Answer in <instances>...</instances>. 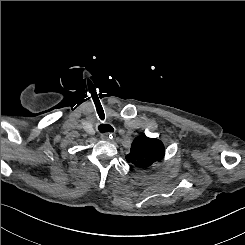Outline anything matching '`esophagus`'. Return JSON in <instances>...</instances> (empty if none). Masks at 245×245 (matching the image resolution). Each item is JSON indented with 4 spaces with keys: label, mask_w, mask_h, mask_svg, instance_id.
Listing matches in <instances>:
<instances>
[{
    "label": "esophagus",
    "mask_w": 245,
    "mask_h": 245,
    "mask_svg": "<svg viewBox=\"0 0 245 245\" xmlns=\"http://www.w3.org/2000/svg\"><path fill=\"white\" fill-rule=\"evenodd\" d=\"M111 136H112L111 134L105 133V134H102V135H101V139H102V140H109V138H110Z\"/></svg>",
    "instance_id": "obj_1"
}]
</instances>
